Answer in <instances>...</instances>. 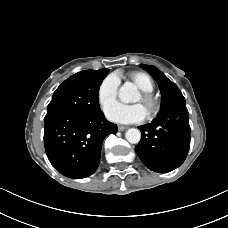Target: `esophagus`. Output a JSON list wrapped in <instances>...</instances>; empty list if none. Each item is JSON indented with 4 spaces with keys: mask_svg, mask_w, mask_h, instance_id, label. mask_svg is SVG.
I'll use <instances>...</instances> for the list:
<instances>
[{
    "mask_svg": "<svg viewBox=\"0 0 228 228\" xmlns=\"http://www.w3.org/2000/svg\"><path fill=\"white\" fill-rule=\"evenodd\" d=\"M127 128H128L127 126H123V125H119L118 126V130L121 131V132L125 131Z\"/></svg>",
    "mask_w": 228,
    "mask_h": 228,
    "instance_id": "34e87169",
    "label": "esophagus"
}]
</instances>
